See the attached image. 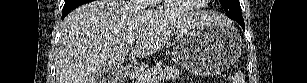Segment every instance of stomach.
I'll list each match as a JSON object with an SVG mask.
<instances>
[{
  "mask_svg": "<svg viewBox=\"0 0 307 83\" xmlns=\"http://www.w3.org/2000/svg\"><path fill=\"white\" fill-rule=\"evenodd\" d=\"M241 52L242 40L237 30L223 23L190 28L177 34L173 43V54L182 68L199 76L225 71Z\"/></svg>",
  "mask_w": 307,
  "mask_h": 83,
  "instance_id": "0dacf381",
  "label": "stomach"
}]
</instances>
